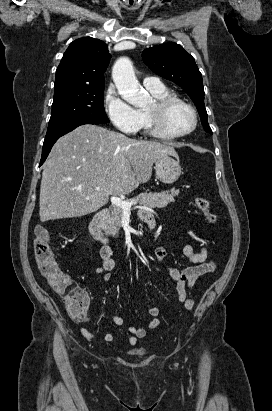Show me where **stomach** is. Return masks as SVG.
Instances as JSON below:
<instances>
[{"label":"stomach","instance_id":"1","mask_svg":"<svg viewBox=\"0 0 272 411\" xmlns=\"http://www.w3.org/2000/svg\"><path fill=\"white\" fill-rule=\"evenodd\" d=\"M153 164L157 178L166 184L174 183L181 175L182 170L179 161L171 156L157 158Z\"/></svg>","mask_w":272,"mask_h":411}]
</instances>
